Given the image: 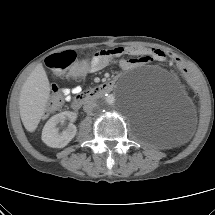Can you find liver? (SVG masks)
<instances>
[{"mask_svg":"<svg viewBox=\"0 0 215 215\" xmlns=\"http://www.w3.org/2000/svg\"><path fill=\"white\" fill-rule=\"evenodd\" d=\"M50 97V83L42 64H38L23 84L19 97L22 123L29 132H34L45 113Z\"/></svg>","mask_w":215,"mask_h":215,"instance_id":"liver-1","label":"liver"}]
</instances>
